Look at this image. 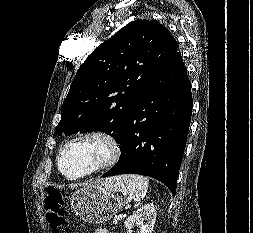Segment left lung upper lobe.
<instances>
[{
    "instance_id": "1",
    "label": "left lung upper lobe",
    "mask_w": 253,
    "mask_h": 233,
    "mask_svg": "<svg viewBox=\"0 0 253 233\" xmlns=\"http://www.w3.org/2000/svg\"><path fill=\"white\" fill-rule=\"evenodd\" d=\"M178 44L156 20H136L100 44L76 73L61 107L58 135L103 131L116 142Z\"/></svg>"
}]
</instances>
